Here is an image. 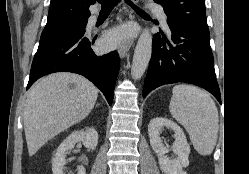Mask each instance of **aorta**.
I'll list each match as a JSON object with an SVG mask.
<instances>
[{
  "mask_svg": "<svg viewBox=\"0 0 249 174\" xmlns=\"http://www.w3.org/2000/svg\"><path fill=\"white\" fill-rule=\"evenodd\" d=\"M152 54V35L150 34L148 29H145L137 42L132 67H131V74L133 79L137 80L140 79L143 74L145 73L150 58Z\"/></svg>",
  "mask_w": 249,
  "mask_h": 174,
  "instance_id": "obj_1",
  "label": "aorta"
}]
</instances>
